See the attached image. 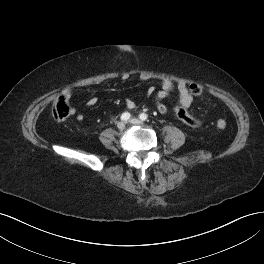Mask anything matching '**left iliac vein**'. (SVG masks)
Returning <instances> with one entry per match:
<instances>
[{"instance_id": "left-iliac-vein-1", "label": "left iliac vein", "mask_w": 264, "mask_h": 264, "mask_svg": "<svg viewBox=\"0 0 264 264\" xmlns=\"http://www.w3.org/2000/svg\"><path fill=\"white\" fill-rule=\"evenodd\" d=\"M131 124H139L140 123V120L136 119V118H132L130 121H129Z\"/></svg>"}]
</instances>
